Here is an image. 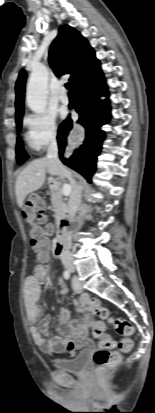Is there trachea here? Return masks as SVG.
Segmentation results:
<instances>
[{"label": "trachea", "mask_w": 155, "mask_h": 413, "mask_svg": "<svg viewBox=\"0 0 155 413\" xmlns=\"http://www.w3.org/2000/svg\"><path fill=\"white\" fill-rule=\"evenodd\" d=\"M65 87L67 88V90L69 91V94L70 95H73V91L71 90L72 89V85H71V83H66L65 84Z\"/></svg>", "instance_id": "1"}]
</instances>
